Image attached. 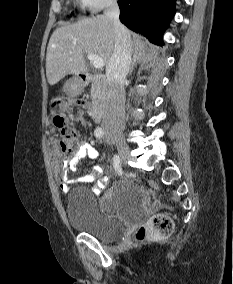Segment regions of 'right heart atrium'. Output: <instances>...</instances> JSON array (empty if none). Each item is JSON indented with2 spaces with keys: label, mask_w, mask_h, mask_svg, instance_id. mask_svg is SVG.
I'll list each match as a JSON object with an SVG mask.
<instances>
[{
  "label": "right heart atrium",
  "mask_w": 233,
  "mask_h": 284,
  "mask_svg": "<svg viewBox=\"0 0 233 284\" xmlns=\"http://www.w3.org/2000/svg\"><path fill=\"white\" fill-rule=\"evenodd\" d=\"M84 5L92 11H99L115 0H82Z\"/></svg>",
  "instance_id": "obj_1"
}]
</instances>
